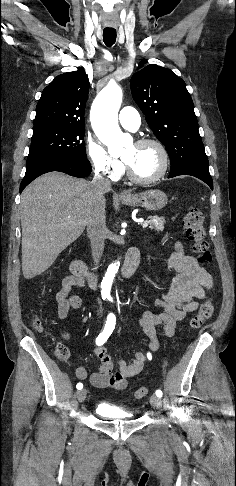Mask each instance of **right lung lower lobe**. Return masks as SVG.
<instances>
[{
    "mask_svg": "<svg viewBox=\"0 0 236 486\" xmlns=\"http://www.w3.org/2000/svg\"><path fill=\"white\" fill-rule=\"evenodd\" d=\"M51 171H60L83 178L91 173L92 168L87 159L63 158L48 155L30 157L27 159L26 173L20 184V193L35 178Z\"/></svg>",
    "mask_w": 236,
    "mask_h": 486,
    "instance_id": "1",
    "label": "right lung lower lobe"
}]
</instances>
